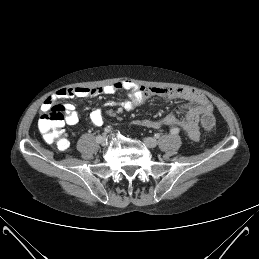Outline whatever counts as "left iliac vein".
Here are the masks:
<instances>
[{
  "mask_svg": "<svg viewBox=\"0 0 259 259\" xmlns=\"http://www.w3.org/2000/svg\"><path fill=\"white\" fill-rule=\"evenodd\" d=\"M144 144L148 147V148H155L157 146V141L156 139L152 138V137H146L143 139Z\"/></svg>",
  "mask_w": 259,
  "mask_h": 259,
  "instance_id": "obj_1",
  "label": "left iliac vein"
}]
</instances>
